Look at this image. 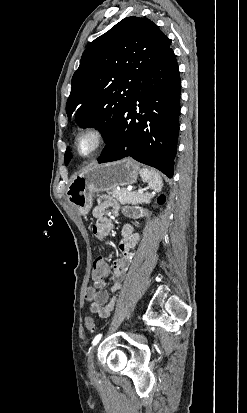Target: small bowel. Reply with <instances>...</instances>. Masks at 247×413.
Returning <instances> with one entry per match:
<instances>
[{
  "label": "small bowel",
  "mask_w": 247,
  "mask_h": 413,
  "mask_svg": "<svg viewBox=\"0 0 247 413\" xmlns=\"http://www.w3.org/2000/svg\"><path fill=\"white\" fill-rule=\"evenodd\" d=\"M107 211H110L113 216H117L120 212V206L111 196L100 195L96 206L92 210V215L96 219L93 231L99 238L107 236L112 227L110 219L106 217ZM129 214L139 216L140 213L137 210H130ZM139 241L140 235L133 232L132 225H126L122 231V241L119 246L121 256L114 260L111 265L108 264L114 281L111 288L112 297L104 290L106 277H92L94 286L88 287L85 291V300L90 303V312L97 314L101 318H108L110 316L115 304L114 294L122 286L125 274L134 257L132 249Z\"/></svg>",
  "instance_id": "small-bowel-1"
}]
</instances>
